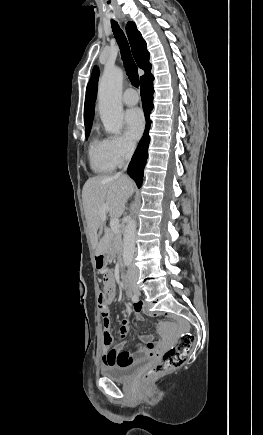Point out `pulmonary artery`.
Masks as SVG:
<instances>
[{"label":"pulmonary artery","mask_w":263,"mask_h":435,"mask_svg":"<svg viewBox=\"0 0 263 435\" xmlns=\"http://www.w3.org/2000/svg\"><path fill=\"white\" fill-rule=\"evenodd\" d=\"M139 102L138 94L134 89H128L123 95V103L126 106H134Z\"/></svg>","instance_id":"e3ab8cb5"}]
</instances>
